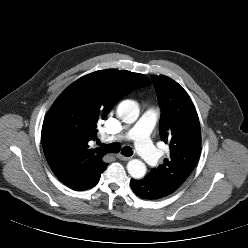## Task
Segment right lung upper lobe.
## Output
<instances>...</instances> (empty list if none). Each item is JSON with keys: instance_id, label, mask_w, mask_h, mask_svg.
Masks as SVG:
<instances>
[{"instance_id": "1", "label": "right lung upper lobe", "mask_w": 248, "mask_h": 248, "mask_svg": "<svg viewBox=\"0 0 248 248\" xmlns=\"http://www.w3.org/2000/svg\"><path fill=\"white\" fill-rule=\"evenodd\" d=\"M142 74L108 69L85 75L72 83L54 102L42 127V146L55 176L80 191L106 169L105 151L92 149L97 123L116 102L133 90L150 86Z\"/></svg>"}]
</instances>
